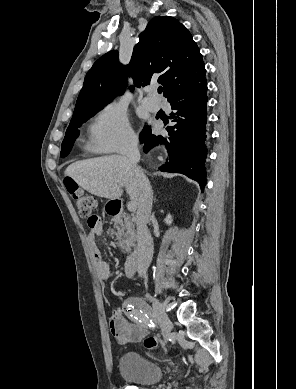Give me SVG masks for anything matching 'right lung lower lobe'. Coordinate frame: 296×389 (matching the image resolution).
I'll use <instances>...</instances> for the list:
<instances>
[{"label":"right lung lower lobe","instance_id":"98d812e1","mask_svg":"<svg viewBox=\"0 0 296 389\" xmlns=\"http://www.w3.org/2000/svg\"><path fill=\"white\" fill-rule=\"evenodd\" d=\"M207 84L199 90L174 97L171 107L176 124L168 127V136L154 135L151 129L140 138L143 149L149 151L156 144L166 146L169 159L161 171L183 173L196 180L202 189L206 184L205 158L207 148Z\"/></svg>","mask_w":296,"mask_h":389}]
</instances>
